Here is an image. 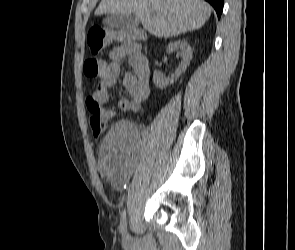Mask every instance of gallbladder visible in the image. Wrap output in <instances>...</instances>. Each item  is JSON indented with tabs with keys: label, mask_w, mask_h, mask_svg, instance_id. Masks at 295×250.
<instances>
[{
	"label": "gallbladder",
	"mask_w": 295,
	"mask_h": 250,
	"mask_svg": "<svg viewBox=\"0 0 295 250\" xmlns=\"http://www.w3.org/2000/svg\"><path fill=\"white\" fill-rule=\"evenodd\" d=\"M140 21L134 14H112L108 15L103 24L109 29H133L139 25Z\"/></svg>",
	"instance_id": "gallbladder-1"
}]
</instances>
